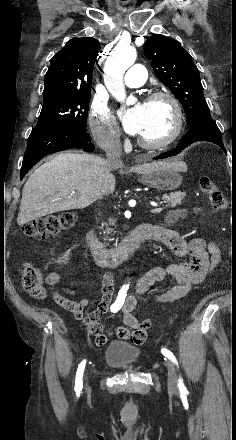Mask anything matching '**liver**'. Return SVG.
<instances>
[{
    "mask_svg": "<svg viewBox=\"0 0 236 440\" xmlns=\"http://www.w3.org/2000/svg\"><path fill=\"white\" fill-rule=\"evenodd\" d=\"M180 163L157 161L132 167L129 172L146 174ZM107 160L87 154L65 152L38 167L23 187L18 225L71 209H82L115 190V177ZM123 173V170H120Z\"/></svg>",
    "mask_w": 236,
    "mask_h": 440,
    "instance_id": "liver-1",
    "label": "liver"
}]
</instances>
